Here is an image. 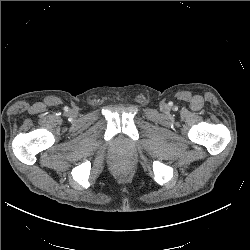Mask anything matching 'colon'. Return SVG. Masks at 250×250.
<instances>
[{"label":"colon","mask_w":250,"mask_h":250,"mask_svg":"<svg viewBox=\"0 0 250 250\" xmlns=\"http://www.w3.org/2000/svg\"><path fill=\"white\" fill-rule=\"evenodd\" d=\"M115 173H117V174H124V173H125V170H124L123 168H121V167H117V168L115 169Z\"/></svg>","instance_id":"obj_1"}]
</instances>
